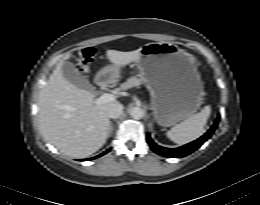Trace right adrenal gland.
I'll return each mask as SVG.
<instances>
[{
  "label": "right adrenal gland",
  "instance_id": "right-adrenal-gland-1",
  "mask_svg": "<svg viewBox=\"0 0 260 205\" xmlns=\"http://www.w3.org/2000/svg\"><path fill=\"white\" fill-rule=\"evenodd\" d=\"M112 131H113V124L112 122L110 121L109 122V133H108V137H110L112 135Z\"/></svg>",
  "mask_w": 260,
  "mask_h": 205
}]
</instances>
